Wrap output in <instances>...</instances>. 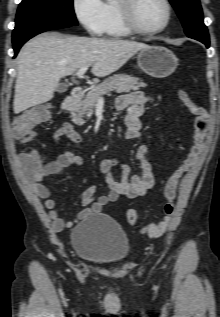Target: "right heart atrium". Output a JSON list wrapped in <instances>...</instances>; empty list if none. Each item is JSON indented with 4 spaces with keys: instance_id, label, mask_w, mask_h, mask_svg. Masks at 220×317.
<instances>
[{
    "instance_id": "obj_1",
    "label": "right heart atrium",
    "mask_w": 220,
    "mask_h": 317,
    "mask_svg": "<svg viewBox=\"0 0 220 317\" xmlns=\"http://www.w3.org/2000/svg\"><path fill=\"white\" fill-rule=\"evenodd\" d=\"M73 12L91 35H100L103 31L104 3L102 0H72Z\"/></svg>"
}]
</instances>
